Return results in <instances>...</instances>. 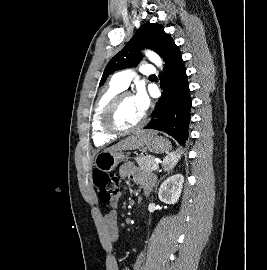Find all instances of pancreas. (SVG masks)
Listing matches in <instances>:
<instances>
[{
	"label": "pancreas",
	"instance_id": "1",
	"mask_svg": "<svg viewBox=\"0 0 267 270\" xmlns=\"http://www.w3.org/2000/svg\"><path fill=\"white\" fill-rule=\"evenodd\" d=\"M135 160L143 173L154 175L153 172L156 171L157 168H155L156 162L153 156H139L136 157Z\"/></svg>",
	"mask_w": 267,
	"mask_h": 270
}]
</instances>
